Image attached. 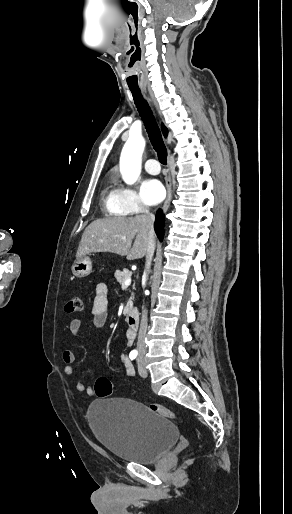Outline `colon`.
I'll return each mask as SVG.
<instances>
[{
	"instance_id": "1",
	"label": "colon",
	"mask_w": 292,
	"mask_h": 514,
	"mask_svg": "<svg viewBox=\"0 0 292 514\" xmlns=\"http://www.w3.org/2000/svg\"><path fill=\"white\" fill-rule=\"evenodd\" d=\"M65 310L67 313L81 312L84 310V303L80 296L73 297L70 299L66 306ZM94 391L97 396L101 399H107L111 396L112 393V382L107 376H100L97 378L94 384ZM149 409L151 412L160 415L161 417L167 419H176V413L167 408L166 406L151 403L149 405ZM201 447V445L199 446Z\"/></svg>"
}]
</instances>
